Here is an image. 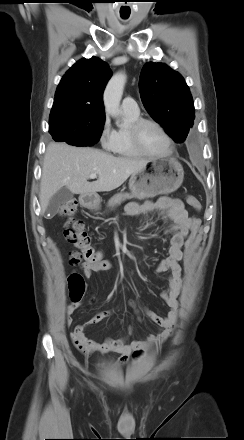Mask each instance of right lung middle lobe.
I'll use <instances>...</instances> for the list:
<instances>
[{
  "label": "right lung middle lobe",
  "instance_id": "right-lung-middle-lobe-1",
  "mask_svg": "<svg viewBox=\"0 0 244 440\" xmlns=\"http://www.w3.org/2000/svg\"><path fill=\"white\" fill-rule=\"evenodd\" d=\"M104 122L50 121L49 132L57 142L75 146H91L98 142Z\"/></svg>",
  "mask_w": 244,
  "mask_h": 440
}]
</instances>
